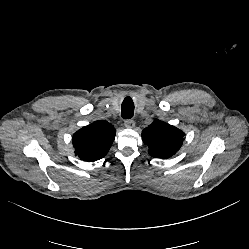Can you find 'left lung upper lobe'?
I'll return each mask as SVG.
<instances>
[{
    "instance_id": "left-lung-upper-lobe-1",
    "label": "left lung upper lobe",
    "mask_w": 249,
    "mask_h": 249,
    "mask_svg": "<svg viewBox=\"0 0 249 249\" xmlns=\"http://www.w3.org/2000/svg\"><path fill=\"white\" fill-rule=\"evenodd\" d=\"M184 133L163 121L155 119L142 132V140L149 147L148 153L156 158H169L182 146Z\"/></svg>"
}]
</instances>
